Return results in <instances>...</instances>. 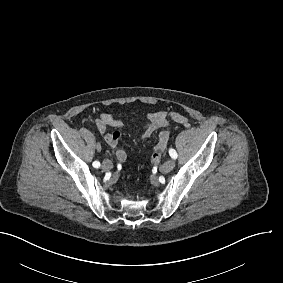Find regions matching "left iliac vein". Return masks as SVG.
<instances>
[{"label":"left iliac vein","mask_w":283,"mask_h":283,"mask_svg":"<svg viewBox=\"0 0 283 283\" xmlns=\"http://www.w3.org/2000/svg\"><path fill=\"white\" fill-rule=\"evenodd\" d=\"M174 165H175V161L173 159H170L168 161H166L160 168V170L163 172V173H168L170 172L173 168H174Z\"/></svg>","instance_id":"obj_1"}]
</instances>
